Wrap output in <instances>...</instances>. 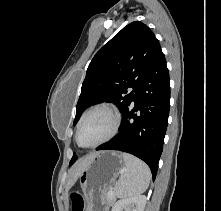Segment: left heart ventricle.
<instances>
[{
	"label": "left heart ventricle",
	"instance_id": "obj_1",
	"mask_svg": "<svg viewBox=\"0 0 221 211\" xmlns=\"http://www.w3.org/2000/svg\"><path fill=\"white\" fill-rule=\"evenodd\" d=\"M112 127V117L104 111H96L88 115L79 132L82 145H91L104 138Z\"/></svg>",
	"mask_w": 221,
	"mask_h": 211
}]
</instances>
